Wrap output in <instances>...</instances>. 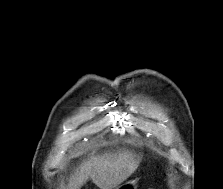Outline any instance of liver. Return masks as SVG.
Returning a JSON list of instances; mask_svg holds the SVG:
<instances>
[{
  "label": "liver",
  "mask_w": 223,
  "mask_h": 189,
  "mask_svg": "<svg viewBox=\"0 0 223 189\" xmlns=\"http://www.w3.org/2000/svg\"><path fill=\"white\" fill-rule=\"evenodd\" d=\"M140 160L126 151L92 156L70 174L64 189H80L89 179L100 189H114L134 173Z\"/></svg>",
  "instance_id": "obj_1"
}]
</instances>
